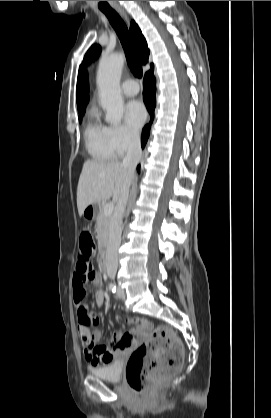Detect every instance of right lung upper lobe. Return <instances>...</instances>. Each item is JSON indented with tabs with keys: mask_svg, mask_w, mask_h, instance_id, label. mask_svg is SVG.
<instances>
[{
	"mask_svg": "<svg viewBox=\"0 0 271 418\" xmlns=\"http://www.w3.org/2000/svg\"><path fill=\"white\" fill-rule=\"evenodd\" d=\"M130 31L135 41L138 59L141 63L146 64L149 50L145 38L134 21L131 22ZM151 67H153V64H151ZM88 91V76L86 71L80 67L77 79V108L80 114L85 112V106L89 100Z\"/></svg>",
	"mask_w": 271,
	"mask_h": 418,
	"instance_id": "cb5924a9",
	"label": "right lung upper lobe"
}]
</instances>
